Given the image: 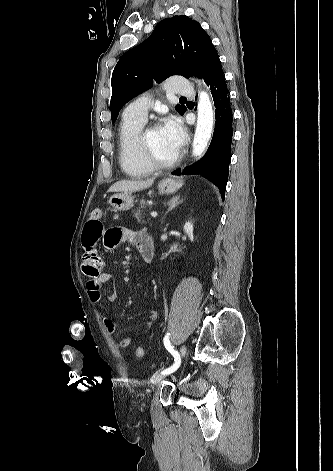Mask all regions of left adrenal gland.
Here are the masks:
<instances>
[{
	"mask_svg": "<svg viewBox=\"0 0 333 471\" xmlns=\"http://www.w3.org/2000/svg\"><path fill=\"white\" fill-rule=\"evenodd\" d=\"M182 199H180V195L178 196H175L173 197L170 201L167 202V205L169 206L168 210L166 211V213L164 214V216L162 217V223H163V220L165 218V216L171 211L173 210L176 206H178L180 203H182Z\"/></svg>",
	"mask_w": 333,
	"mask_h": 471,
	"instance_id": "a2214340",
	"label": "left adrenal gland"
}]
</instances>
